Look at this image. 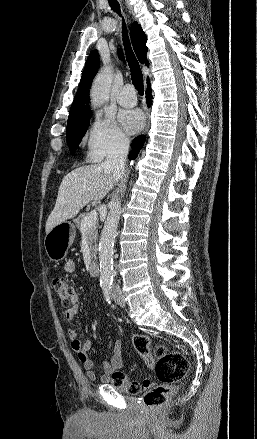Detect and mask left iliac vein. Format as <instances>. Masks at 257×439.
<instances>
[{
    "label": "left iliac vein",
    "instance_id": "4c4485c4",
    "mask_svg": "<svg viewBox=\"0 0 257 439\" xmlns=\"http://www.w3.org/2000/svg\"><path fill=\"white\" fill-rule=\"evenodd\" d=\"M112 296H113L114 301L118 305L125 306L126 302H125V300L122 296V293L120 291H116V290L112 291Z\"/></svg>",
    "mask_w": 257,
    "mask_h": 439
}]
</instances>
